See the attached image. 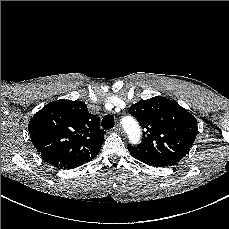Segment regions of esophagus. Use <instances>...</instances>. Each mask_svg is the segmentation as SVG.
Masks as SVG:
<instances>
[{
  "mask_svg": "<svg viewBox=\"0 0 229 229\" xmlns=\"http://www.w3.org/2000/svg\"><path fill=\"white\" fill-rule=\"evenodd\" d=\"M114 131L121 134L123 133V129L119 124L115 125Z\"/></svg>",
  "mask_w": 229,
  "mask_h": 229,
  "instance_id": "esophagus-1",
  "label": "esophagus"
}]
</instances>
